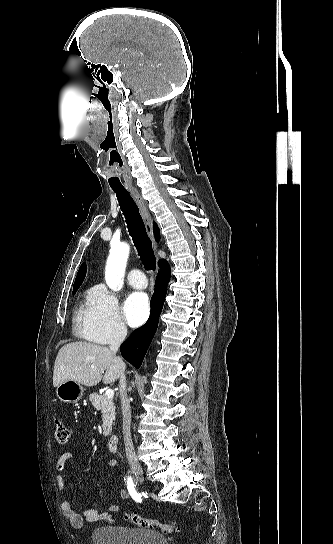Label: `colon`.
I'll return each instance as SVG.
<instances>
[{"mask_svg": "<svg viewBox=\"0 0 333 544\" xmlns=\"http://www.w3.org/2000/svg\"><path fill=\"white\" fill-rule=\"evenodd\" d=\"M54 437L59 444H66L71 439L69 428L59 419L54 421ZM124 519L143 528L160 529L167 534H172L178 531L177 525L173 522L164 523L159 520L142 517L134 513L124 514Z\"/></svg>", "mask_w": 333, "mask_h": 544, "instance_id": "5ec220e1", "label": "colon"}]
</instances>
